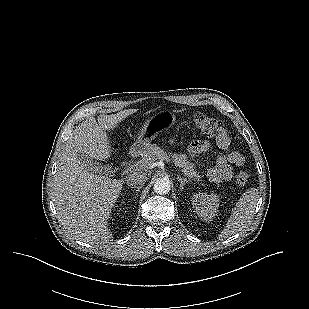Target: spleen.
<instances>
[{
	"instance_id": "1",
	"label": "spleen",
	"mask_w": 309,
	"mask_h": 309,
	"mask_svg": "<svg viewBox=\"0 0 309 309\" xmlns=\"http://www.w3.org/2000/svg\"><path fill=\"white\" fill-rule=\"evenodd\" d=\"M258 200L259 191L256 188L248 189L243 193L242 197L233 208L226 226L219 235L220 240L238 233L247 226L254 213Z\"/></svg>"
}]
</instances>
